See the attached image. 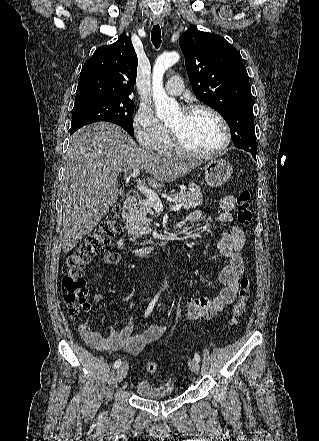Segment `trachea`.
I'll list each match as a JSON object with an SVG mask.
<instances>
[{
    "label": "trachea",
    "mask_w": 319,
    "mask_h": 441,
    "mask_svg": "<svg viewBox=\"0 0 319 441\" xmlns=\"http://www.w3.org/2000/svg\"><path fill=\"white\" fill-rule=\"evenodd\" d=\"M151 40L155 48H159L161 45V29L160 26L154 25L151 32Z\"/></svg>",
    "instance_id": "trachea-1"
}]
</instances>
